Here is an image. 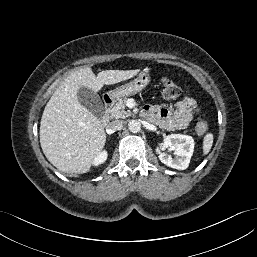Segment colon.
I'll use <instances>...</instances> for the list:
<instances>
[{
  "label": "colon",
  "mask_w": 257,
  "mask_h": 257,
  "mask_svg": "<svg viewBox=\"0 0 257 257\" xmlns=\"http://www.w3.org/2000/svg\"><path fill=\"white\" fill-rule=\"evenodd\" d=\"M161 90L164 98L168 100L178 99L181 95V89L168 77H162ZM208 129V124L205 121H199L196 125V130L199 133H204Z\"/></svg>",
  "instance_id": "colon-1"
}]
</instances>
